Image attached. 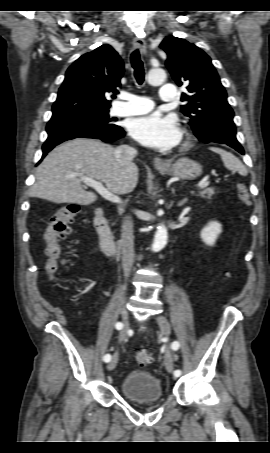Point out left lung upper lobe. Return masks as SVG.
<instances>
[{"label":"left lung upper lobe","instance_id":"left-lung-upper-lobe-1","mask_svg":"<svg viewBox=\"0 0 270 453\" xmlns=\"http://www.w3.org/2000/svg\"><path fill=\"white\" fill-rule=\"evenodd\" d=\"M160 47L167 53L166 66L173 79L188 93L181 111L190 118L194 134L203 142H238L234 112L210 57L184 39L166 37Z\"/></svg>","mask_w":270,"mask_h":453}]
</instances>
